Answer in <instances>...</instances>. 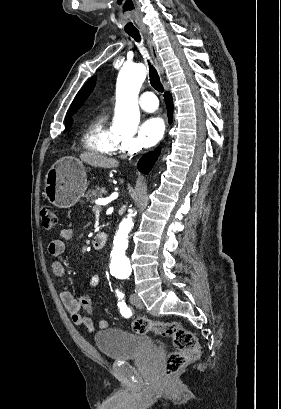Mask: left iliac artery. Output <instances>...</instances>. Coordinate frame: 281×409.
I'll return each mask as SVG.
<instances>
[{"label":"left iliac artery","mask_w":281,"mask_h":409,"mask_svg":"<svg viewBox=\"0 0 281 409\" xmlns=\"http://www.w3.org/2000/svg\"><path fill=\"white\" fill-rule=\"evenodd\" d=\"M117 296L119 298V300L121 299V301H119L118 303V307L120 309V313L122 314V316H124L125 318H129L132 315V311L131 309L126 305V303L122 300L124 294H122L120 291L116 290Z\"/></svg>","instance_id":"44dca946"}]
</instances>
